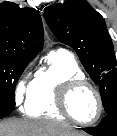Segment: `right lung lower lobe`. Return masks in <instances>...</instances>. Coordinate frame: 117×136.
<instances>
[{
  "instance_id": "obj_1",
  "label": "right lung lower lobe",
  "mask_w": 117,
  "mask_h": 136,
  "mask_svg": "<svg viewBox=\"0 0 117 136\" xmlns=\"http://www.w3.org/2000/svg\"><path fill=\"white\" fill-rule=\"evenodd\" d=\"M15 108V102L0 100V118L9 115Z\"/></svg>"
}]
</instances>
